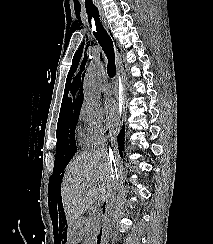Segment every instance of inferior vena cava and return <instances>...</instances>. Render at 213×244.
Returning a JSON list of instances; mask_svg holds the SVG:
<instances>
[{
  "mask_svg": "<svg viewBox=\"0 0 213 244\" xmlns=\"http://www.w3.org/2000/svg\"><path fill=\"white\" fill-rule=\"evenodd\" d=\"M108 155H109V160H110V169H111V177H110V180L112 181V189H115V188H118L119 187V184L117 183L118 181V177H119V171L118 169L116 168V165H115V159H114V152L109 150L108 152ZM109 209H108V215H113L114 213V210L117 206V203H118V195H116V191H111V193L109 194L108 196V199L106 201Z\"/></svg>",
  "mask_w": 213,
  "mask_h": 244,
  "instance_id": "obj_1",
  "label": "inferior vena cava"
}]
</instances>
